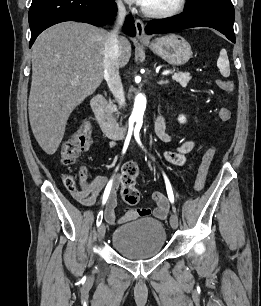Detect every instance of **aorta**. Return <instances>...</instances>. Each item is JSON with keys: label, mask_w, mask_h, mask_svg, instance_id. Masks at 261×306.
Wrapping results in <instances>:
<instances>
[{"label": "aorta", "mask_w": 261, "mask_h": 306, "mask_svg": "<svg viewBox=\"0 0 261 306\" xmlns=\"http://www.w3.org/2000/svg\"><path fill=\"white\" fill-rule=\"evenodd\" d=\"M146 110V98L142 94H137L134 98L133 110L130 116L132 123H142Z\"/></svg>", "instance_id": "1"}]
</instances>
